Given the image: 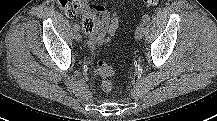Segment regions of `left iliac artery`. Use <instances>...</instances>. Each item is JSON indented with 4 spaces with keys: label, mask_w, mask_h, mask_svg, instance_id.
I'll list each match as a JSON object with an SVG mask.
<instances>
[{
    "label": "left iliac artery",
    "mask_w": 217,
    "mask_h": 121,
    "mask_svg": "<svg viewBox=\"0 0 217 121\" xmlns=\"http://www.w3.org/2000/svg\"><path fill=\"white\" fill-rule=\"evenodd\" d=\"M150 21V16H148V15H144L143 17H142V24H146V23H148Z\"/></svg>",
    "instance_id": "1"
}]
</instances>
